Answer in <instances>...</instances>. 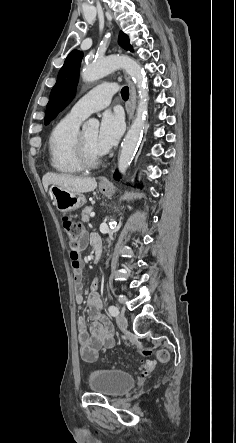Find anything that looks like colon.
I'll list each match as a JSON object with an SVG mask.
<instances>
[{
	"label": "colon",
	"mask_w": 236,
	"mask_h": 443,
	"mask_svg": "<svg viewBox=\"0 0 236 443\" xmlns=\"http://www.w3.org/2000/svg\"><path fill=\"white\" fill-rule=\"evenodd\" d=\"M62 226H63L65 233L67 234V236L69 238L70 245L72 248V251H71L72 268L74 271H76L78 273L81 271L82 266L80 263V258H79V253H78L77 247L79 245L81 237L83 236V227L78 220H76L73 217H69V216H65L62 218ZM141 352L145 356H148L152 353L151 350L146 349V348L142 349ZM156 357L161 362H168L169 358H170L169 353L166 350H158L156 352ZM84 358L91 359V355L89 353H85L83 359ZM152 366H153V364L151 361L145 360L142 363L141 370L143 372H148L152 369Z\"/></svg>",
	"instance_id": "obj_1"
}]
</instances>
